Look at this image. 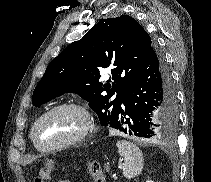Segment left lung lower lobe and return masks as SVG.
I'll return each mask as SVG.
<instances>
[{
    "instance_id": "1",
    "label": "left lung lower lobe",
    "mask_w": 211,
    "mask_h": 182,
    "mask_svg": "<svg viewBox=\"0 0 211 182\" xmlns=\"http://www.w3.org/2000/svg\"><path fill=\"white\" fill-rule=\"evenodd\" d=\"M178 123L176 92L164 55L154 45L125 90L116 129L142 139L173 133Z\"/></svg>"
}]
</instances>
